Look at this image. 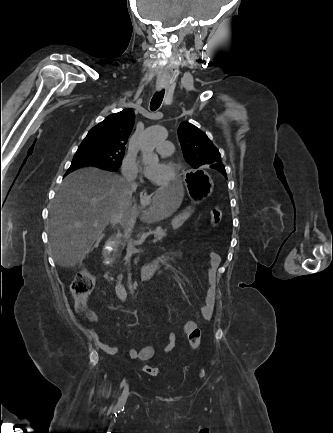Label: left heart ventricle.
<instances>
[{
  "label": "left heart ventricle",
  "instance_id": "b2bd125f",
  "mask_svg": "<svg viewBox=\"0 0 333 433\" xmlns=\"http://www.w3.org/2000/svg\"><path fill=\"white\" fill-rule=\"evenodd\" d=\"M151 157L153 159V165H159L160 166V182L165 181L169 175H170V169L165 163L159 162V157H161V154L157 152V150L151 154Z\"/></svg>",
  "mask_w": 333,
  "mask_h": 433
}]
</instances>
